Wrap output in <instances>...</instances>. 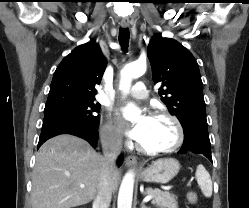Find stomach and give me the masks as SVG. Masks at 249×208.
<instances>
[{"mask_svg":"<svg viewBox=\"0 0 249 208\" xmlns=\"http://www.w3.org/2000/svg\"><path fill=\"white\" fill-rule=\"evenodd\" d=\"M180 164L174 158H162L143 169L139 176L148 183L166 184L179 172Z\"/></svg>","mask_w":249,"mask_h":208,"instance_id":"0dacf381","label":"stomach"}]
</instances>
